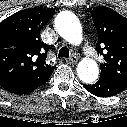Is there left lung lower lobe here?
I'll return each mask as SVG.
<instances>
[{
    "label": "left lung lower lobe",
    "mask_w": 127,
    "mask_h": 127,
    "mask_svg": "<svg viewBox=\"0 0 127 127\" xmlns=\"http://www.w3.org/2000/svg\"><path fill=\"white\" fill-rule=\"evenodd\" d=\"M90 93L99 97H110L127 88V85L104 75H100V79L93 85H83Z\"/></svg>",
    "instance_id": "1"
}]
</instances>
